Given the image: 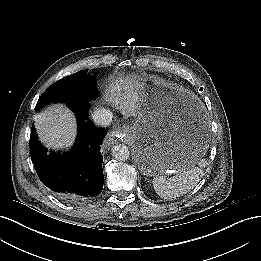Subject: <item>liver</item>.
<instances>
[{
  "instance_id": "6515ba94",
  "label": "liver",
  "mask_w": 261,
  "mask_h": 261,
  "mask_svg": "<svg viewBox=\"0 0 261 261\" xmlns=\"http://www.w3.org/2000/svg\"><path fill=\"white\" fill-rule=\"evenodd\" d=\"M141 85L135 75L121 77L110 85L106 99L119 108L125 117H136L140 108ZM40 140L48 148L69 147L76 135L72 112L62 104L52 105L34 117Z\"/></svg>"
}]
</instances>
